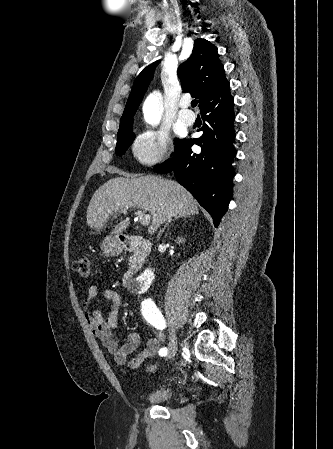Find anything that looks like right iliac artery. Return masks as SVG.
Instances as JSON below:
<instances>
[{
    "label": "right iliac artery",
    "mask_w": 333,
    "mask_h": 449,
    "mask_svg": "<svg viewBox=\"0 0 333 449\" xmlns=\"http://www.w3.org/2000/svg\"><path fill=\"white\" fill-rule=\"evenodd\" d=\"M141 306L144 318L155 328L163 330L165 328V320L155 303L151 299H145ZM166 354L167 348L159 350L160 356H165Z\"/></svg>",
    "instance_id": "1"
}]
</instances>
